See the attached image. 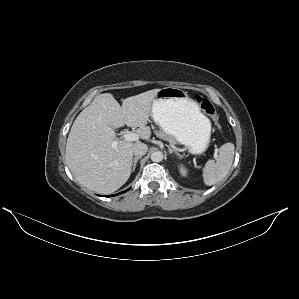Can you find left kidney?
Returning a JSON list of instances; mask_svg holds the SVG:
<instances>
[{"label":"left kidney","mask_w":299,"mask_h":299,"mask_svg":"<svg viewBox=\"0 0 299 299\" xmlns=\"http://www.w3.org/2000/svg\"><path fill=\"white\" fill-rule=\"evenodd\" d=\"M179 171H180V173H181L182 176H186L187 175V170L183 166H181L179 168Z\"/></svg>","instance_id":"1"}]
</instances>
